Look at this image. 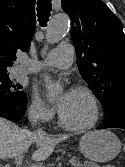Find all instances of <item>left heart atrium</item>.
I'll list each match as a JSON object with an SVG mask.
<instances>
[{"label": "left heart atrium", "mask_w": 125, "mask_h": 167, "mask_svg": "<svg viewBox=\"0 0 125 167\" xmlns=\"http://www.w3.org/2000/svg\"><path fill=\"white\" fill-rule=\"evenodd\" d=\"M70 91H65L58 99L57 101V108L61 112L62 109L64 108L69 96H70Z\"/></svg>", "instance_id": "left-heart-atrium-1"}]
</instances>
